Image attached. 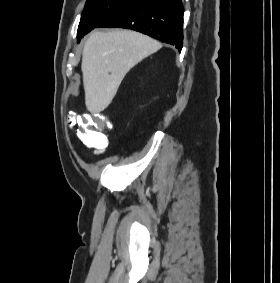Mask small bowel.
Instances as JSON below:
<instances>
[{"mask_svg":"<svg viewBox=\"0 0 280 283\" xmlns=\"http://www.w3.org/2000/svg\"><path fill=\"white\" fill-rule=\"evenodd\" d=\"M69 125L71 126V127H74V124H73V119L72 118H69Z\"/></svg>","mask_w":280,"mask_h":283,"instance_id":"obj_1","label":"small bowel"}]
</instances>
